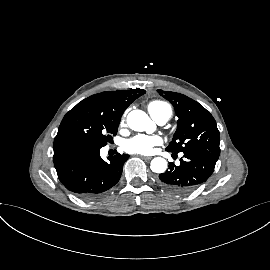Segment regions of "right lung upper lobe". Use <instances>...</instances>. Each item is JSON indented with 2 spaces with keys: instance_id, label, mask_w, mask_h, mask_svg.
<instances>
[{
  "instance_id": "1",
  "label": "right lung upper lobe",
  "mask_w": 270,
  "mask_h": 270,
  "mask_svg": "<svg viewBox=\"0 0 270 270\" xmlns=\"http://www.w3.org/2000/svg\"><path fill=\"white\" fill-rule=\"evenodd\" d=\"M146 91L143 89L102 92L87 98L95 108L114 118L121 119L125 109Z\"/></svg>"
}]
</instances>
